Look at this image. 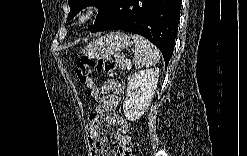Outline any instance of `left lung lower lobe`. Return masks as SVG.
I'll return each instance as SVG.
<instances>
[{"label":"left lung lower lobe","mask_w":247,"mask_h":156,"mask_svg":"<svg viewBox=\"0 0 247 156\" xmlns=\"http://www.w3.org/2000/svg\"><path fill=\"white\" fill-rule=\"evenodd\" d=\"M181 0H115L92 32L125 30L144 36L156 45L167 65L175 45Z\"/></svg>","instance_id":"left-lung-lower-lobe-1"}]
</instances>
